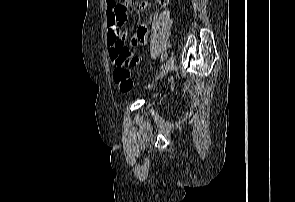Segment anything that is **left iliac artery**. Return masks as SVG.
<instances>
[{"label": "left iliac artery", "instance_id": "obj_1", "mask_svg": "<svg viewBox=\"0 0 295 202\" xmlns=\"http://www.w3.org/2000/svg\"><path fill=\"white\" fill-rule=\"evenodd\" d=\"M166 58H167V53L165 52V53L162 54L161 59H162V61H164Z\"/></svg>", "mask_w": 295, "mask_h": 202}]
</instances>
